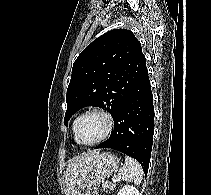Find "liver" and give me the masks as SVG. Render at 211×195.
<instances>
[{
  "label": "liver",
  "instance_id": "1",
  "mask_svg": "<svg viewBox=\"0 0 211 195\" xmlns=\"http://www.w3.org/2000/svg\"><path fill=\"white\" fill-rule=\"evenodd\" d=\"M98 155V151H91L68 162L63 180L66 186V195H81L90 169V163Z\"/></svg>",
  "mask_w": 211,
  "mask_h": 195
}]
</instances>
